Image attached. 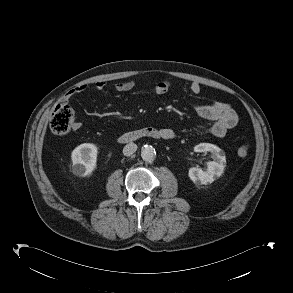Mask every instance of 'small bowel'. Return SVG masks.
<instances>
[{
    "label": "small bowel",
    "instance_id": "1",
    "mask_svg": "<svg viewBox=\"0 0 293 293\" xmlns=\"http://www.w3.org/2000/svg\"><path fill=\"white\" fill-rule=\"evenodd\" d=\"M134 86V82L127 81L116 83L114 88L117 92L124 93L132 90ZM94 87L97 90H103L106 87V83L98 81L94 84ZM170 88L171 84L167 80L157 81L153 85V91L157 95L165 94ZM86 89V85H80L71 89L64 95L62 102L67 103L74 96L86 91ZM189 89L195 95H198L201 92V86L197 82L191 83ZM192 106L199 116L213 121V124L209 128V133L213 136H224L227 131L234 128L238 122L236 112L227 103L214 101L210 104L194 103ZM72 128L73 130H79L81 128V124L79 122H75ZM160 130L168 137V139L175 136V132L172 129L163 128Z\"/></svg>",
    "mask_w": 293,
    "mask_h": 293
}]
</instances>
